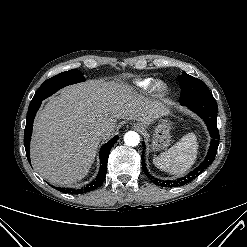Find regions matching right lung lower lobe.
<instances>
[{
  "label": "right lung lower lobe",
  "instance_id": "98d812e1",
  "mask_svg": "<svg viewBox=\"0 0 247 247\" xmlns=\"http://www.w3.org/2000/svg\"><path fill=\"white\" fill-rule=\"evenodd\" d=\"M40 105H41V102L36 103V104H30L29 109H28L27 119H26V127H25V132H24V146H25L26 155H27L29 162H30V139L32 135V126H33L35 114L37 110L39 109ZM117 139H118V136H115L114 138H112L110 141H108L105 145L101 147L100 152H99L100 169L94 181H92L90 184L80 189L59 188V190H62L63 192L71 193V194H82V193H87V192H90L98 188L105 179L109 153H110L111 148L117 141Z\"/></svg>",
  "mask_w": 247,
  "mask_h": 247
}]
</instances>
